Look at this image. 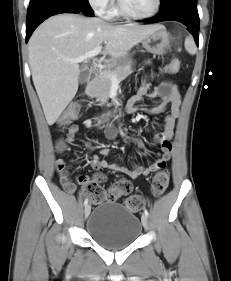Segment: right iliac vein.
Instances as JSON below:
<instances>
[{
  "label": "right iliac vein",
  "mask_w": 231,
  "mask_h": 281,
  "mask_svg": "<svg viewBox=\"0 0 231 281\" xmlns=\"http://www.w3.org/2000/svg\"><path fill=\"white\" fill-rule=\"evenodd\" d=\"M90 212H91V206L88 204V205H86V207L84 209L85 218H87L89 216Z\"/></svg>",
  "instance_id": "right-iliac-vein-1"
}]
</instances>
